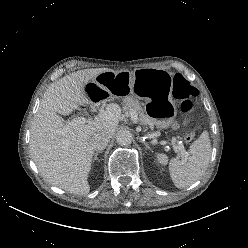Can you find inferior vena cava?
Wrapping results in <instances>:
<instances>
[{
    "label": "inferior vena cava",
    "mask_w": 248,
    "mask_h": 248,
    "mask_svg": "<svg viewBox=\"0 0 248 248\" xmlns=\"http://www.w3.org/2000/svg\"><path fill=\"white\" fill-rule=\"evenodd\" d=\"M110 138L111 135L106 131L97 132L91 137L90 145L93 150L101 151L106 148Z\"/></svg>",
    "instance_id": "obj_1"
}]
</instances>
